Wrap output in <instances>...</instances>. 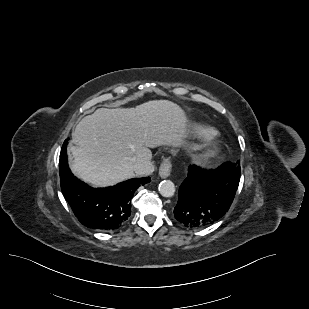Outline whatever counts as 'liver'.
<instances>
[{
    "instance_id": "liver-1",
    "label": "liver",
    "mask_w": 309,
    "mask_h": 309,
    "mask_svg": "<svg viewBox=\"0 0 309 309\" xmlns=\"http://www.w3.org/2000/svg\"><path fill=\"white\" fill-rule=\"evenodd\" d=\"M187 130L185 112L168 100L135 108H99L85 116L72 134L70 168L96 187L111 186L135 175L133 159L143 164L139 175L154 171L149 148L180 146Z\"/></svg>"
}]
</instances>
